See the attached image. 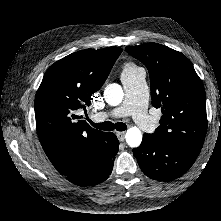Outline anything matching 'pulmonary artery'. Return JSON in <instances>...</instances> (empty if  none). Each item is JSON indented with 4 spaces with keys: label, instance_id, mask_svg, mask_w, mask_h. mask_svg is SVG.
<instances>
[{
    "label": "pulmonary artery",
    "instance_id": "obj_1",
    "mask_svg": "<svg viewBox=\"0 0 221 221\" xmlns=\"http://www.w3.org/2000/svg\"><path fill=\"white\" fill-rule=\"evenodd\" d=\"M121 81L125 90L122 104L109 112H99L92 119L103 121L109 117L131 116L138 126L154 128V118L147 112L148 87L144 70L140 68L131 74L121 75Z\"/></svg>",
    "mask_w": 221,
    "mask_h": 221
}]
</instances>
